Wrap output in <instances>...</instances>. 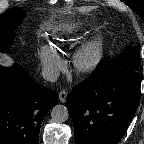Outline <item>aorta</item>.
Here are the masks:
<instances>
[{"label":"aorta","mask_w":144,"mask_h":144,"mask_svg":"<svg viewBox=\"0 0 144 144\" xmlns=\"http://www.w3.org/2000/svg\"><path fill=\"white\" fill-rule=\"evenodd\" d=\"M51 117L53 121L57 123L65 122L69 117L67 107L61 104H57L51 110Z\"/></svg>","instance_id":"1"}]
</instances>
